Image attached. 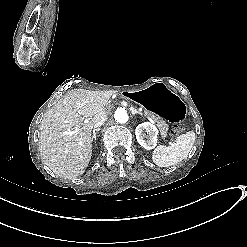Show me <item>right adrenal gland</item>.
<instances>
[{
	"label": "right adrenal gland",
	"instance_id": "right-adrenal-gland-1",
	"mask_svg": "<svg viewBox=\"0 0 247 247\" xmlns=\"http://www.w3.org/2000/svg\"><path fill=\"white\" fill-rule=\"evenodd\" d=\"M98 131H100V128L93 129V135H92L91 141L96 140V132Z\"/></svg>",
	"mask_w": 247,
	"mask_h": 247
}]
</instances>
